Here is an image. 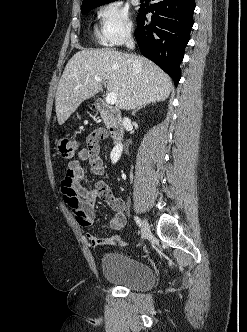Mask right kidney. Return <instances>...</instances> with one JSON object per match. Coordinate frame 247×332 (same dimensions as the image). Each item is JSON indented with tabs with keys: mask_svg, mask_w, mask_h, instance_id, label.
Returning a JSON list of instances; mask_svg holds the SVG:
<instances>
[{
	"mask_svg": "<svg viewBox=\"0 0 247 332\" xmlns=\"http://www.w3.org/2000/svg\"><path fill=\"white\" fill-rule=\"evenodd\" d=\"M123 151V145L122 144H117L113 148L110 154V159L113 164H115L121 157Z\"/></svg>",
	"mask_w": 247,
	"mask_h": 332,
	"instance_id": "ca27d5eb",
	"label": "right kidney"
}]
</instances>
